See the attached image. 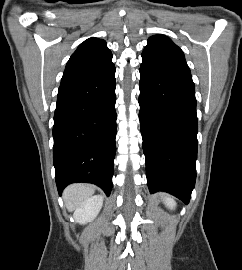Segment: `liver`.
<instances>
[{
    "label": "liver",
    "instance_id": "liver-1",
    "mask_svg": "<svg viewBox=\"0 0 242 270\" xmlns=\"http://www.w3.org/2000/svg\"><path fill=\"white\" fill-rule=\"evenodd\" d=\"M95 187L88 184H73L68 186L63 195L65 206L68 211L77 209L94 193Z\"/></svg>",
    "mask_w": 242,
    "mask_h": 270
}]
</instances>
